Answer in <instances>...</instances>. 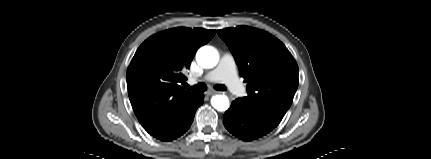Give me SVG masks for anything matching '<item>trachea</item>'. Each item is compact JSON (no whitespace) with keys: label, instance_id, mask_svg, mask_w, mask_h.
<instances>
[{"label":"trachea","instance_id":"3493384b","mask_svg":"<svg viewBox=\"0 0 431 159\" xmlns=\"http://www.w3.org/2000/svg\"><path fill=\"white\" fill-rule=\"evenodd\" d=\"M185 87L194 93H202V92L207 90V87L204 83H198L195 86L185 85ZM214 88L218 91H225L226 90V87L222 84H217L214 86Z\"/></svg>","mask_w":431,"mask_h":159}]
</instances>
